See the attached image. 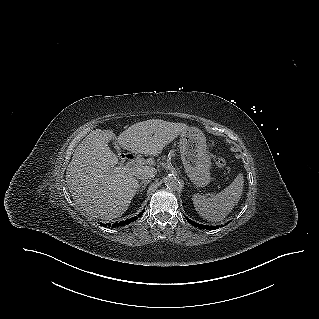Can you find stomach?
<instances>
[{
    "label": "stomach",
    "mask_w": 319,
    "mask_h": 319,
    "mask_svg": "<svg viewBox=\"0 0 319 319\" xmlns=\"http://www.w3.org/2000/svg\"><path fill=\"white\" fill-rule=\"evenodd\" d=\"M179 148L185 172L191 182L199 188L207 186L211 181V159L206 150L203 132L190 128L181 133Z\"/></svg>",
    "instance_id": "stomach-1"
}]
</instances>
